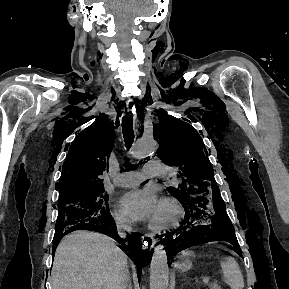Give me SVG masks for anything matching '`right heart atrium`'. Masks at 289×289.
<instances>
[{"instance_id":"right-heart-atrium-1","label":"right heart atrium","mask_w":289,"mask_h":289,"mask_svg":"<svg viewBox=\"0 0 289 289\" xmlns=\"http://www.w3.org/2000/svg\"><path fill=\"white\" fill-rule=\"evenodd\" d=\"M113 217H114V220L119 227H122V228H129L130 227L129 219L121 211H118V210L114 211Z\"/></svg>"}]
</instances>
